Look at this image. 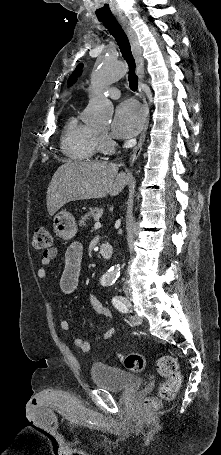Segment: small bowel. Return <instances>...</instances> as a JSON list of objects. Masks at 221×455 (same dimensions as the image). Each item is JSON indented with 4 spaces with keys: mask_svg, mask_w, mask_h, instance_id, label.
<instances>
[{
    "mask_svg": "<svg viewBox=\"0 0 221 455\" xmlns=\"http://www.w3.org/2000/svg\"><path fill=\"white\" fill-rule=\"evenodd\" d=\"M58 250L54 247L44 251L40 259V265L36 271V275L40 280H45L47 278V267L51 264L52 260L57 256ZM83 261V247L80 243L71 244L65 252V264L63 273L60 280V287L63 293L66 295H71L77 288L80 273L82 269ZM89 301L95 312L102 317L107 319L112 318L111 311L103 306L99 298L91 294ZM60 328L63 331H68L70 329V324L68 321L63 320L60 322ZM115 329L113 327L109 328L102 334L96 336L97 339L107 340L113 336ZM74 345L81 349L83 352L91 351L92 345L90 341L84 340L82 338H75Z\"/></svg>",
    "mask_w": 221,
    "mask_h": 455,
    "instance_id": "small-bowel-1",
    "label": "small bowel"
}]
</instances>
